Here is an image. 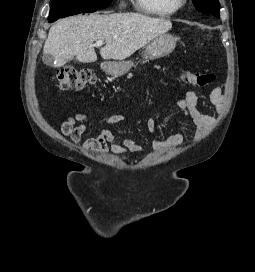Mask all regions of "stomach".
<instances>
[{"label":"stomach","instance_id":"0dacf381","mask_svg":"<svg viewBox=\"0 0 255 272\" xmlns=\"http://www.w3.org/2000/svg\"><path fill=\"white\" fill-rule=\"evenodd\" d=\"M177 38L163 33L148 43L144 51L146 61L164 57L172 53L176 47ZM134 66L133 61H112L103 65L104 70L114 77L127 73Z\"/></svg>","mask_w":255,"mask_h":272}]
</instances>
